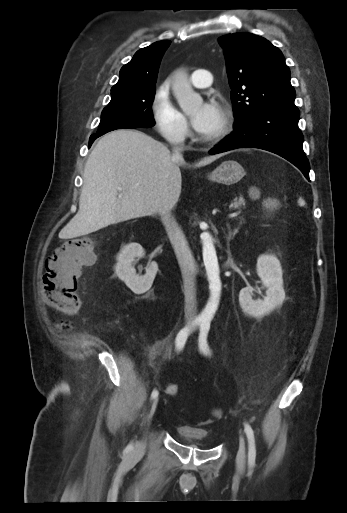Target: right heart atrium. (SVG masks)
<instances>
[{
    "instance_id": "right-heart-atrium-1",
    "label": "right heart atrium",
    "mask_w": 347,
    "mask_h": 513,
    "mask_svg": "<svg viewBox=\"0 0 347 513\" xmlns=\"http://www.w3.org/2000/svg\"><path fill=\"white\" fill-rule=\"evenodd\" d=\"M150 112L156 131L168 143L179 145L189 136L188 120L173 102L169 82L164 81L156 88Z\"/></svg>"
}]
</instances>
